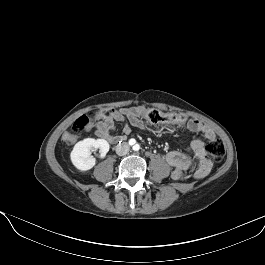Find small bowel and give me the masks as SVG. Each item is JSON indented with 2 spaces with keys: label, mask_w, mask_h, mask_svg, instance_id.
Returning a JSON list of instances; mask_svg holds the SVG:
<instances>
[{
  "label": "small bowel",
  "mask_w": 265,
  "mask_h": 265,
  "mask_svg": "<svg viewBox=\"0 0 265 265\" xmlns=\"http://www.w3.org/2000/svg\"><path fill=\"white\" fill-rule=\"evenodd\" d=\"M143 109L142 107H131L115 111L111 117L105 118L96 124V134L110 143H118L132 131L128 123L139 130H144L145 123L139 115V112ZM116 123L122 124V135L114 133ZM186 128L191 132L202 133L207 139L216 137L215 131L210 126L197 120L187 121ZM166 161L172 167L171 175L175 180L181 179L183 172L192 166L196 167L194 177L203 179L209 175L212 167L206 155L204 143L200 139H194L190 143L187 153L180 151L167 153Z\"/></svg>",
  "instance_id": "c3829d8e"
}]
</instances>
